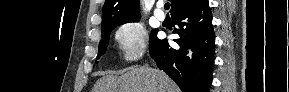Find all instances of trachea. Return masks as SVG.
Here are the masks:
<instances>
[{"label":"trachea","instance_id":"obj_1","mask_svg":"<svg viewBox=\"0 0 289 92\" xmlns=\"http://www.w3.org/2000/svg\"><path fill=\"white\" fill-rule=\"evenodd\" d=\"M169 7H170V4H169V3H166V4L164 5V8H165L166 10H168Z\"/></svg>","mask_w":289,"mask_h":92}]
</instances>
